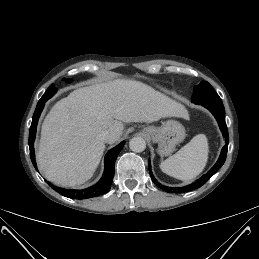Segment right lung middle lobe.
<instances>
[{"instance_id": "dd1d6c3e", "label": "right lung middle lobe", "mask_w": 259, "mask_h": 259, "mask_svg": "<svg viewBox=\"0 0 259 259\" xmlns=\"http://www.w3.org/2000/svg\"><path fill=\"white\" fill-rule=\"evenodd\" d=\"M66 81L69 82L70 80L66 79ZM55 92H56L55 85L51 84L50 87L47 89V91L43 94L41 99H44L47 101L49 98H51L55 94Z\"/></svg>"}]
</instances>
